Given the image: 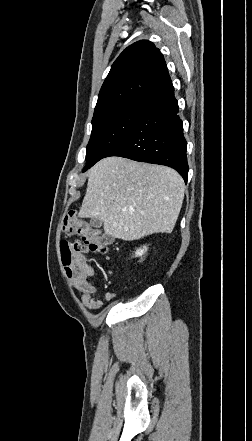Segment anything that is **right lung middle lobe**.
<instances>
[{"mask_svg":"<svg viewBox=\"0 0 252 441\" xmlns=\"http://www.w3.org/2000/svg\"><path fill=\"white\" fill-rule=\"evenodd\" d=\"M144 107L145 99H137L108 107L94 114L83 172L106 157L107 153L129 134Z\"/></svg>","mask_w":252,"mask_h":441,"instance_id":"1","label":"right lung middle lobe"}]
</instances>
